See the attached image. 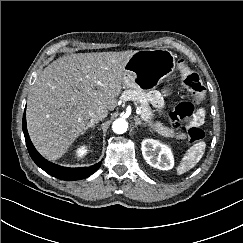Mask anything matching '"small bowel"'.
Returning <instances> with one entry per match:
<instances>
[{
    "mask_svg": "<svg viewBox=\"0 0 243 243\" xmlns=\"http://www.w3.org/2000/svg\"><path fill=\"white\" fill-rule=\"evenodd\" d=\"M149 98H150L151 102L153 104L157 105V106H160L162 104V98H161V95L159 93L154 92V93H152L150 95ZM204 117H205L204 110L203 109H200L197 112L194 120L192 121V125L193 126H198V125L202 124L203 123V120H204ZM157 130L161 134L166 135V136H176L178 138H183V135H177L171 129H169V128L161 125V124H158L157 125Z\"/></svg>",
    "mask_w": 243,
    "mask_h": 243,
    "instance_id": "obj_1",
    "label": "small bowel"
}]
</instances>
